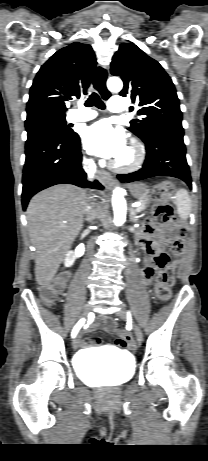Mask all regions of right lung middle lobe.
<instances>
[{"label":"right lung middle lobe","mask_w":208,"mask_h":461,"mask_svg":"<svg viewBox=\"0 0 208 461\" xmlns=\"http://www.w3.org/2000/svg\"><path fill=\"white\" fill-rule=\"evenodd\" d=\"M25 127L27 131V141L43 133L55 132L64 136H69L73 133L66 125L65 116H28L25 121Z\"/></svg>","instance_id":"obj_1"}]
</instances>
